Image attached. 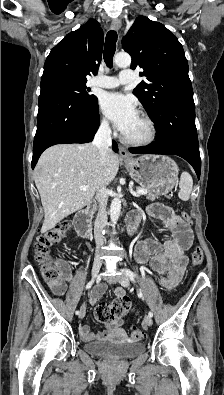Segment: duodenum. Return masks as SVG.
Masks as SVG:
<instances>
[{
  "label": "duodenum",
  "instance_id": "duodenum-1",
  "mask_svg": "<svg viewBox=\"0 0 224 395\" xmlns=\"http://www.w3.org/2000/svg\"><path fill=\"white\" fill-rule=\"evenodd\" d=\"M94 211V204H90L81 211L74 218V227L77 234L81 238H88L91 232V216ZM141 214L138 212L131 213L126 218V228L129 235H133Z\"/></svg>",
  "mask_w": 224,
  "mask_h": 395
}]
</instances>
